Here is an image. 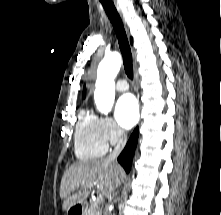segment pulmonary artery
<instances>
[{"instance_id": "pulmonary-artery-1", "label": "pulmonary artery", "mask_w": 221, "mask_h": 215, "mask_svg": "<svg viewBox=\"0 0 221 215\" xmlns=\"http://www.w3.org/2000/svg\"><path fill=\"white\" fill-rule=\"evenodd\" d=\"M128 88H129V85L126 80L120 79L116 82V90L117 91L124 92V91L128 90Z\"/></svg>"}]
</instances>
